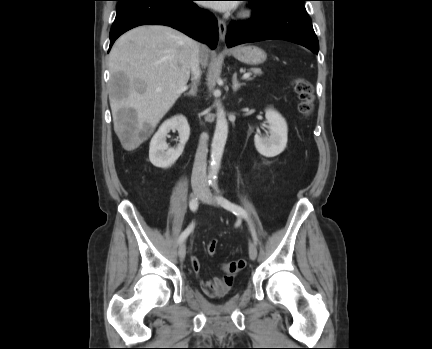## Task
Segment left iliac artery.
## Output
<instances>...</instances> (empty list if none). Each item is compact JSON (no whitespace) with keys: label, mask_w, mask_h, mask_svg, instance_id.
I'll return each instance as SVG.
<instances>
[{"label":"left iliac artery","mask_w":432,"mask_h":349,"mask_svg":"<svg viewBox=\"0 0 432 349\" xmlns=\"http://www.w3.org/2000/svg\"><path fill=\"white\" fill-rule=\"evenodd\" d=\"M212 187H213L215 190H217V188H218L217 183H216V182H213V183H212ZM217 201H218V203L221 204L225 209H227V210L233 212L234 214L241 215V216H242V217H243V218H244V219L249 223V225H250V230H251V233H252L253 239H254L255 241H257V236H256V233H255V230H254V228H253L252 225H251V222H250V220H249V217H248L247 212H246L242 207L238 206L237 204H234V203L230 202L229 200H227V199L224 198V197L218 196V197H217Z\"/></svg>","instance_id":"1"}]
</instances>
